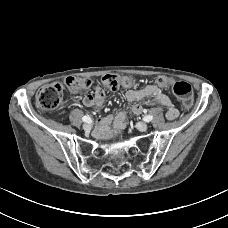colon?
<instances>
[{"label": "colon", "instance_id": "obj_1", "mask_svg": "<svg viewBox=\"0 0 228 228\" xmlns=\"http://www.w3.org/2000/svg\"><path fill=\"white\" fill-rule=\"evenodd\" d=\"M158 86L162 88H171L173 94L188 108L193 103V90L189 83L173 82L170 78L160 76L157 78ZM103 87L109 90L119 88H130L135 85V79L129 76L118 74H107L101 78ZM92 81L87 78L69 77L66 79V86L71 93H80L88 90ZM64 87L58 83H52L41 87L36 94V103L38 107L45 111H51L58 108L63 101Z\"/></svg>", "mask_w": 228, "mask_h": 228}]
</instances>
